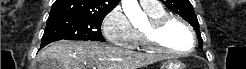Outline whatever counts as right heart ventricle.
Segmentation results:
<instances>
[{"mask_svg":"<svg viewBox=\"0 0 246 69\" xmlns=\"http://www.w3.org/2000/svg\"><path fill=\"white\" fill-rule=\"evenodd\" d=\"M144 10L148 15L149 19L159 18L161 16L168 14V12L161 5L156 8H144ZM140 31L141 30L139 29L136 32V38L134 44L149 50L150 48L144 43Z\"/></svg>","mask_w":246,"mask_h":69,"instance_id":"right-heart-ventricle-1","label":"right heart ventricle"}]
</instances>
